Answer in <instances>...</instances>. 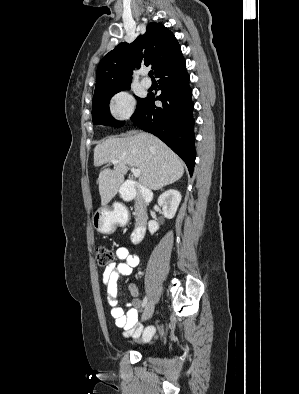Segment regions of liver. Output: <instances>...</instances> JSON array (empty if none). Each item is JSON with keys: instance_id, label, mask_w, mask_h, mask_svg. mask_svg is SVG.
<instances>
[{"instance_id": "liver-1", "label": "liver", "mask_w": 299, "mask_h": 394, "mask_svg": "<svg viewBox=\"0 0 299 394\" xmlns=\"http://www.w3.org/2000/svg\"><path fill=\"white\" fill-rule=\"evenodd\" d=\"M116 159L113 169L99 173L98 185L101 204L106 205L117 194L124 182L128 166L140 169L141 185L159 190L179 180L184 164L166 144L152 134L135 131L124 138H108L94 149L96 167Z\"/></svg>"}]
</instances>
